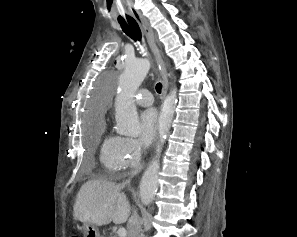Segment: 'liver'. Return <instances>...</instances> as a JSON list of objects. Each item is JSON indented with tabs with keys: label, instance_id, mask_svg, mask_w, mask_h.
I'll use <instances>...</instances> for the list:
<instances>
[{
	"label": "liver",
	"instance_id": "6515ba94",
	"mask_svg": "<svg viewBox=\"0 0 297 237\" xmlns=\"http://www.w3.org/2000/svg\"><path fill=\"white\" fill-rule=\"evenodd\" d=\"M122 187L111 182L90 180L79 190L73 207V217L83 223L105 226L128 220L130 204Z\"/></svg>",
	"mask_w": 297,
	"mask_h": 237
}]
</instances>
